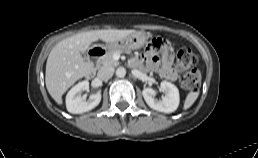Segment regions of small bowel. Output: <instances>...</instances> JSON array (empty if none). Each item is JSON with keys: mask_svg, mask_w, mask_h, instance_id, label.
<instances>
[{"mask_svg": "<svg viewBox=\"0 0 258 158\" xmlns=\"http://www.w3.org/2000/svg\"><path fill=\"white\" fill-rule=\"evenodd\" d=\"M158 51L161 52L160 58ZM173 61V49L165 41L162 42L160 49L149 47L143 56H137L133 59V63L139 65L143 70H155L162 78L168 81H174L177 78Z\"/></svg>", "mask_w": 258, "mask_h": 158, "instance_id": "small-bowel-1", "label": "small bowel"}]
</instances>
